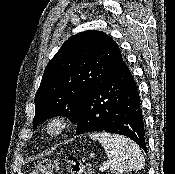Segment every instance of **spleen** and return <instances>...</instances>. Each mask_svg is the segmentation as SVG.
Returning a JSON list of instances; mask_svg holds the SVG:
<instances>
[{
  "label": "spleen",
  "instance_id": "1",
  "mask_svg": "<svg viewBox=\"0 0 175 174\" xmlns=\"http://www.w3.org/2000/svg\"><path fill=\"white\" fill-rule=\"evenodd\" d=\"M90 138L101 143L109 159L112 173L122 174L132 170H140L145 166L141 150L130 139L107 132L92 133Z\"/></svg>",
  "mask_w": 175,
  "mask_h": 174
}]
</instances>
